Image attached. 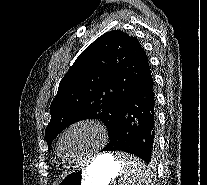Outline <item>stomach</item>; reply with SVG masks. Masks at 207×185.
Segmentation results:
<instances>
[{
    "instance_id": "1",
    "label": "stomach",
    "mask_w": 207,
    "mask_h": 185,
    "mask_svg": "<svg viewBox=\"0 0 207 185\" xmlns=\"http://www.w3.org/2000/svg\"><path fill=\"white\" fill-rule=\"evenodd\" d=\"M122 169L116 156L105 153L94 159L89 165L65 174L53 185H108Z\"/></svg>"
}]
</instances>
